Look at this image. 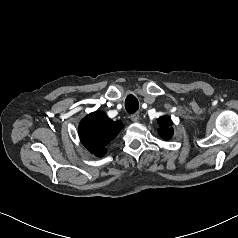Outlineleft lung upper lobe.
<instances>
[{"label":"left lung upper lobe","instance_id":"obj_1","mask_svg":"<svg viewBox=\"0 0 238 238\" xmlns=\"http://www.w3.org/2000/svg\"><path fill=\"white\" fill-rule=\"evenodd\" d=\"M158 123L160 124L159 135L164 140H169L173 136V128L170 127L172 125L171 119L168 116H163L158 119Z\"/></svg>","mask_w":238,"mask_h":238}]
</instances>
